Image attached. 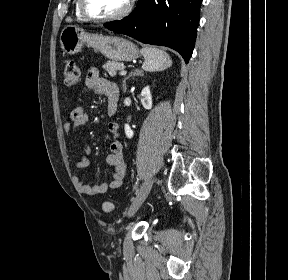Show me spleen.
<instances>
[{"label": "spleen", "instance_id": "1", "mask_svg": "<svg viewBox=\"0 0 288 280\" xmlns=\"http://www.w3.org/2000/svg\"><path fill=\"white\" fill-rule=\"evenodd\" d=\"M144 57L142 68L148 72L163 71L172 65L170 56L163 50L153 47L141 49Z\"/></svg>", "mask_w": 288, "mask_h": 280}]
</instances>
